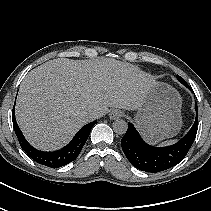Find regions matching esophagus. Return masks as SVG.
Wrapping results in <instances>:
<instances>
[{"label": "esophagus", "instance_id": "34e87169", "mask_svg": "<svg viewBox=\"0 0 211 211\" xmlns=\"http://www.w3.org/2000/svg\"><path fill=\"white\" fill-rule=\"evenodd\" d=\"M122 116H123V112L120 111V110H113V111H111L110 114H109V117H110V119H112V120L119 119V118H121Z\"/></svg>", "mask_w": 211, "mask_h": 211}]
</instances>
